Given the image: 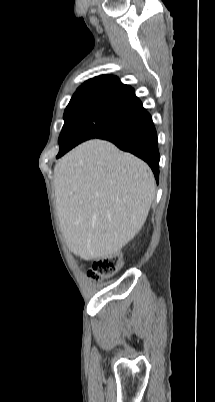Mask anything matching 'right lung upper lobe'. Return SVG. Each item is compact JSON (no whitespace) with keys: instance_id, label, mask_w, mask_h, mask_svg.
Instances as JSON below:
<instances>
[{"instance_id":"right-lung-upper-lobe-1","label":"right lung upper lobe","mask_w":215,"mask_h":402,"mask_svg":"<svg viewBox=\"0 0 215 402\" xmlns=\"http://www.w3.org/2000/svg\"><path fill=\"white\" fill-rule=\"evenodd\" d=\"M110 95L125 101L140 103L132 87L121 83L118 77L113 75H101L89 79L83 83L74 95Z\"/></svg>"}]
</instances>
